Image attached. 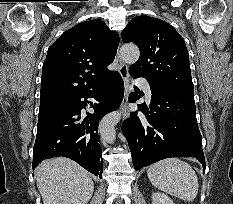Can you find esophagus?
I'll list each match as a JSON object with an SVG mask.
<instances>
[{
	"instance_id": "1",
	"label": "esophagus",
	"mask_w": 233,
	"mask_h": 204,
	"mask_svg": "<svg viewBox=\"0 0 233 204\" xmlns=\"http://www.w3.org/2000/svg\"><path fill=\"white\" fill-rule=\"evenodd\" d=\"M117 60L119 62V73L122 76L124 83H125L124 98L120 106L122 117L123 119H125L129 115V111L127 107V99H128V94L130 91L129 71H128V66L121 60L119 56V50L117 51Z\"/></svg>"
}]
</instances>
